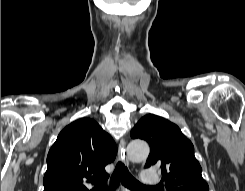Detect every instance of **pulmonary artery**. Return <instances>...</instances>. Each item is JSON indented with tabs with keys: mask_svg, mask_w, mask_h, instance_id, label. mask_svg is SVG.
Returning a JSON list of instances; mask_svg holds the SVG:
<instances>
[{
	"mask_svg": "<svg viewBox=\"0 0 245 191\" xmlns=\"http://www.w3.org/2000/svg\"><path fill=\"white\" fill-rule=\"evenodd\" d=\"M142 182L146 186H154L159 183V177L152 169H146L141 173Z\"/></svg>",
	"mask_w": 245,
	"mask_h": 191,
	"instance_id": "pulmonary-artery-1",
	"label": "pulmonary artery"
}]
</instances>
